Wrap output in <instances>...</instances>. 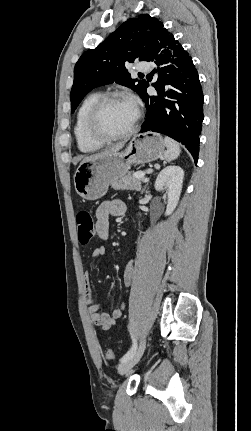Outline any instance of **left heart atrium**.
<instances>
[{
    "label": "left heart atrium",
    "mask_w": 251,
    "mask_h": 431,
    "mask_svg": "<svg viewBox=\"0 0 251 431\" xmlns=\"http://www.w3.org/2000/svg\"><path fill=\"white\" fill-rule=\"evenodd\" d=\"M134 106H136V103L133 100H129Z\"/></svg>",
    "instance_id": "left-heart-atrium-1"
}]
</instances>
